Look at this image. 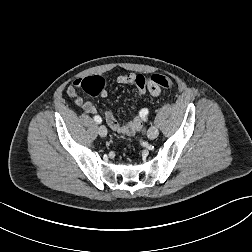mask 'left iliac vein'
Instances as JSON below:
<instances>
[{"mask_svg": "<svg viewBox=\"0 0 252 252\" xmlns=\"http://www.w3.org/2000/svg\"><path fill=\"white\" fill-rule=\"evenodd\" d=\"M158 134H159V131H158L157 127H155V126L150 127L147 131V137L150 140L155 139L158 136Z\"/></svg>", "mask_w": 252, "mask_h": 252, "instance_id": "left-iliac-vein-1", "label": "left iliac vein"}]
</instances>
